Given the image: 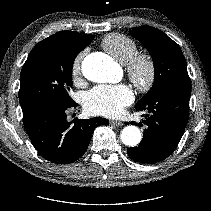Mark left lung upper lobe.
<instances>
[{
    "mask_svg": "<svg viewBox=\"0 0 211 211\" xmlns=\"http://www.w3.org/2000/svg\"><path fill=\"white\" fill-rule=\"evenodd\" d=\"M153 58L155 79L150 91L137 103H143L175 84H190L187 65L179 45L162 31L150 27H135L131 31Z\"/></svg>",
    "mask_w": 211,
    "mask_h": 211,
    "instance_id": "1",
    "label": "left lung upper lobe"
}]
</instances>
